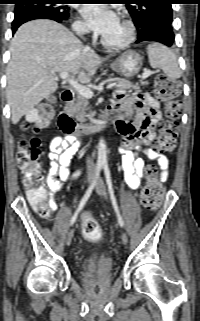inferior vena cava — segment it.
<instances>
[{"label":"inferior vena cava","mask_w":200,"mask_h":321,"mask_svg":"<svg viewBox=\"0 0 200 321\" xmlns=\"http://www.w3.org/2000/svg\"><path fill=\"white\" fill-rule=\"evenodd\" d=\"M86 162H87L88 175H94V173H95V165H94L93 160L91 158H87Z\"/></svg>","instance_id":"inferior-vena-cava-1"}]
</instances>
